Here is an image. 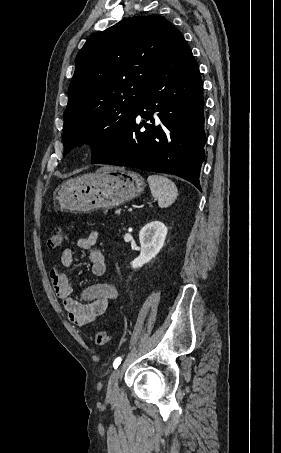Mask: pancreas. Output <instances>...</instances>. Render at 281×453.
<instances>
[{"label": "pancreas", "instance_id": "1", "mask_svg": "<svg viewBox=\"0 0 281 453\" xmlns=\"http://www.w3.org/2000/svg\"><path fill=\"white\" fill-rule=\"evenodd\" d=\"M116 214H120V208H119V210H116Z\"/></svg>", "mask_w": 281, "mask_h": 453}]
</instances>
